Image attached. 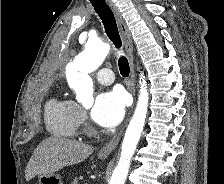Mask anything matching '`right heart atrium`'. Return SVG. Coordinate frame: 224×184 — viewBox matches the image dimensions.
Segmentation results:
<instances>
[{
	"label": "right heart atrium",
	"instance_id": "right-heart-atrium-1",
	"mask_svg": "<svg viewBox=\"0 0 224 184\" xmlns=\"http://www.w3.org/2000/svg\"><path fill=\"white\" fill-rule=\"evenodd\" d=\"M78 114H79V122H80V124L85 123V121H86V113H85V111L78 107Z\"/></svg>",
	"mask_w": 224,
	"mask_h": 184
}]
</instances>
